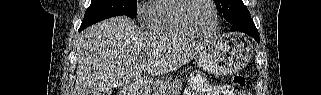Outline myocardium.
<instances>
[{
	"instance_id": "1",
	"label": "myocardium",
	"mask_w": 321,
	"mask_h": 95,
	"mask_svg": "<svg viewBox=\"0 0 321 95\" xmlns=\"http://www.w3.org/2000/svg\"><path fill=\"white\" fill-rule=\"evenodd\" d=\"M193 1H196V0H184L183 5L178 10L179 21L196 36H201V37L212 36L217 32L219 27V16H218V10L215 2L213 0H207L213 8L214 20H215L214 28L210 32L203 33V32H200L197 28H195L188 18V11Z\"/></svg>"
}]
</instances>
